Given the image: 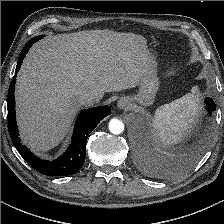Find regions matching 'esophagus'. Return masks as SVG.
<instances>
[{
    "label": "esophagus",
    "instance_id": "34e87169",
    "mask_svg": "<svg viewBox=\"0 0 224 224\" xmlns=\"http://www.w3.org/2000/svg\"><path fill=\"white\" fill-rule=\"evenodd\" d=\"M118 108L123 109V110H128L130 109V103L126 98H121L118 101Z\"/></svg>",
    "mask_w": 224,
    "mask_h": 224
}]
</instances>
